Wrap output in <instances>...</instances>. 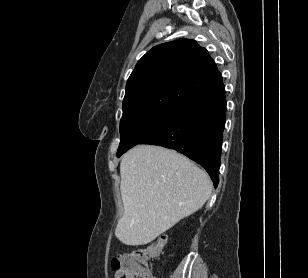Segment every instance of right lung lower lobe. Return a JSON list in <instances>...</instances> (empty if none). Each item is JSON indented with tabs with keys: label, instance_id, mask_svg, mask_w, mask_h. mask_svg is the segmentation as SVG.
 Masks as SVG:
<instances>
[{
	"label": "right lung lower lobe",
	"instance_id": "obj_1",
	"mask_svg": "<svg viewBox=\"0 0 308 278\" xmlns=\"http://www.w3.org/2000/svg\"><path fill=\"white\" fill-rule=\"evenodd\" d=\"M225 121L223 86L180 109L168 124L140 144L160 145L186 155L207 170L217 187Z\"/></svg>",
	"mask_w": 308,
	"mask_h": 278
}]
</instances>
